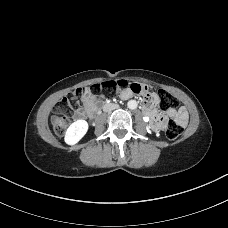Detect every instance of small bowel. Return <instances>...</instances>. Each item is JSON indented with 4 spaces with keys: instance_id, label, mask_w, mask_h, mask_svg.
<instances>
[{
    "instance_id": "c3829d8e",
    "label": "small bowel",
    "mask_w": 228,
    "mask_h": 228,
    "mask_svg": "<svg viewBox=\"0 0 228 228\" xmlns=\"http://www.w3.org/2000/svg\"><path fill=\"white\" fill-rule=\"evenodd\" d=\"M133 92L131 89H125L120 93L121 98L129 99L132 97ZM99 98L94 93H88L83 100V108L77 111L78 117H84L92 115L97 110ZM158 104V97L156 95H150L144 101V112L155 120L153 130H161L166 127V118L156 113L154 107ZM170 116L174 117L176 121L183 127L188 122V112L184 107H180L178 110H172L169 112Z\"/></svg>"
}]
</instances>
